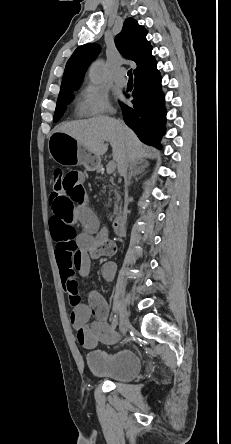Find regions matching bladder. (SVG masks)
Wrapping results in <instances>:
<instances>
[{
	"label": "bladder",
	"instance_id": "1",
	"mask_svg": "<svg viewBox=\"0 0 231 444\" xmlns=\"http://www.w3.org/2000/svg\"><path fill=\"white\" fill-rule=\"evenodd\" d=\"M86 363L94 376L118 382L132 381L142 367L139 355L125 349L110 353H89Z\"/></svg>",
	"mask_w": 231,
	"mask_h": 444
}]
</instances>
